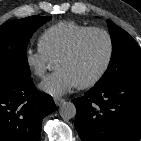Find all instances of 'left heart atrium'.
<instances>
[{
    "instance_id": "39dd6f15",
    "label": "left heart atrium",
    "mask_w": 141,
    "mask_h": 141,
    "mask_svg": "<svg viewBox=\"0 0 141 141\" xmlns=\"http://www.w3.org/2000/svg\"><path fill=\"white\" fill-rule=\"evenodd\" d=\"M77 86L73 76L66 70L58 69L55 73L46 77L39 88L52 96H62Z\"/></svg>"
}]
</instances>
